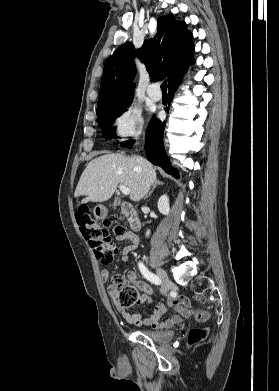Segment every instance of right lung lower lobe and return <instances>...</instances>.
I'll return each instance as SVG.
<instances>
[{
  "instance_id": "1",
  "label": "right lung lower lobe",
  "mask_w": 279,
  "mask_h": 391,
  "mask_svg": "<svg viewBox=\"0 0 279 391\" xmlns=\"http://www.w3.org/2000/svg\"><path fill=\"white\" fill-rule=\"evenodd\" d=\"M181 83V79L169 88V101L177 90ZM167 111V109H166ZM165 128V122L158 120L155 116L150 120L145 137V152L147 159L153 164L162 167L165 172L172 174L174 177L179 178L178 172L170 165V161L166 156L163 145V131ZM134 141L129 140L123 142L122 145H130Z\"/></svg>"
}]
</instances>
